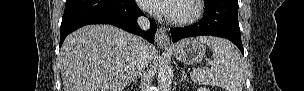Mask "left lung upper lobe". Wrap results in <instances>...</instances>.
<instances>
[{
    "mask_svg": "<svg viewBox=\"0 0 304 91\" xmlns=\"http://www.w3.org/2000/svg\"><path fill=\"white\" fill-rule=\"evenodd\" d=\"M210 1H212V0H204V3H207V2H210Z\"/></svg>",
    "mask_w": 304,
    "mask_h": 91,
    "instance_id": "obj_1",
    "label": "left lung upper lobe"
}]
</instances>
